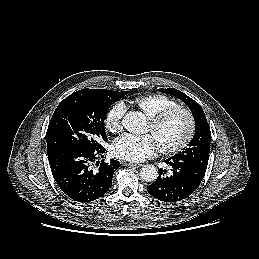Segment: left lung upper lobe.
Instances as JSON below:
<instances>
[{"label":"left lung upper lobe","mask_w":259,"mask_h":259,"mask_svg":"<svg viewBox=\"0 0 259 259\" xmlns=\"http://www.w3.org/2000/svg\"><path fill=\"white\" fill-rule=\"evenodd\" d=\"M159 91L174 95L182 100L189 106L195 119L196 130L194 138L189 143L188 148L173 157L188 159L199 166L207 168L211 132L203 109L196 101L175 88L159 89Z\"/></svg>","instance_id":"5c2ea615"}]
</instances>
